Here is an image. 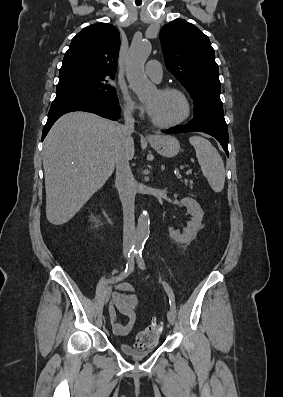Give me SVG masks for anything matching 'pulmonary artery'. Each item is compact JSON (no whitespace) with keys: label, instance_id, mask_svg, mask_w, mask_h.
Instances as JSON below:
<instances>
[{"label":"pulmonary artery","instance_id":"e3ab8cb5","mask_svg":"<svg viewBox=\"0 0 283 397\" xmlns=\"http://www.w3.org/2000/svg\"><path fill=\"white\" fill-rule=\"evenodd\" d=\"M146 73L156 81H160L162 78V67L157 60H150L146 64Z\"/></svg>","mask_w":283,"mask_h":397}]
</instances>
